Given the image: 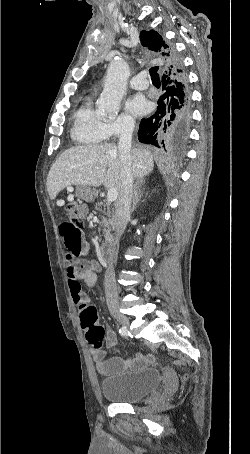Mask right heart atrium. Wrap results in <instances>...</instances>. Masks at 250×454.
I'll return each mask as SVG.
<instances>
[{
    "label": "right heart atrium",
    "mask_w": 250,
    "mask_h": 454,
    "mask_svg": "<svg viewBox=\"0 0 250 454\" xmlns=\"http://www.w3.org/2000/svg\"><path fill=\"white\" fill-rule=\"evenodd\" d=\"M134 127V120L126 115H121L113 121L106 122L105 128L108 134V137H119L129 131Z\"/></svg>",
    "instance_id": "d8ad5b80"
}]
</instances>
